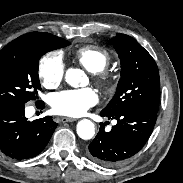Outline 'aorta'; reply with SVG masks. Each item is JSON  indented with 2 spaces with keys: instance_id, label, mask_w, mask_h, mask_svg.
I'll return each instance as SVG.
<instances>
[{
  "instance_id": "1",
  "label": "aorta",
  "mask_w": 183,
  "mask_h": 183,
  "mask_svg": "<svg viewBox=\"0 0 183 183\" xmlns=\"http://www.w3.org/2000/svg\"><path fill=\"white\" fill-rule=\"evenodd\" d=\"M65 81L70 86L77 88L86 86L88 83V78L82 70L70 68L66 71ZM76 131L81 139L89 140L95 134V125L88 119H82L77 123Z\"/></svg>"
}]
</instances>
